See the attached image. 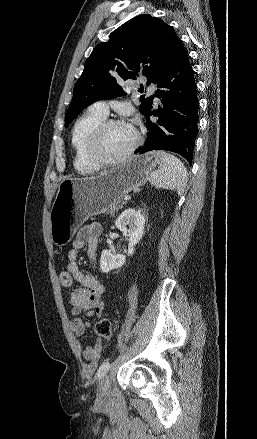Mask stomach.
<instances>
[{
    "label": "stomach",
    "mask_w": 257,
    "mask_h": 439,
    "mask_svg": "<svg viewBox=\"0 0 257 439\" xmlns=\"http://www.w3.org/2000/svg\"><path fill=\"white\" fill-rule=\"evenodd\" d=\"M157 163L156 153L149 152L133 155L94 177L61 181L50 211L52 241L67 244L90 216L104 213L126 193L145 184Z\"/></svg>",
    "instance_id": "stomach-1"
}]
</instances>
